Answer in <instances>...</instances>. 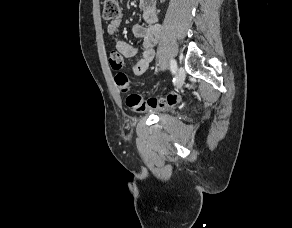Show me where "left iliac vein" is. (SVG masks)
I'll return each instance as SVG.
<instances>
[{
  "label": "left iliac vein",
  "mask_w": 292,
  "mask_h": 228,
  "mask_svg": "<svg viewBox=\"0 0 292 228\" xmlns=\"http://www.w3.org/2000/svg\"><path fill=\"white\" fill-rule=\"evenodd\" d=\"M185 70L183 67H179L178 68V71H177V77H176V87L177 89H179L183 84H184V81H185Z\"/></svg>",
  "instance_id": "obj_1"
}]
</instances>
